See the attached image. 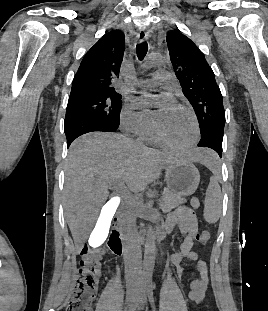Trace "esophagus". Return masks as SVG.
Wrapping results in <instances>:
<instances>
[{"label":"esophagus","instance_id":"1","mask_svg":"<svg viewBox=\"0 0 268 311\" xmlns=\"http://www.w3.org/2000/svg\"><path fill=\"white\" fill-rule=\"evenodd\" d=\"M148 38V34L144 28H140L137 33V39L139 42H143Z\"/></svg>","mask_w":268,"mask_h":311}]
</instances>
